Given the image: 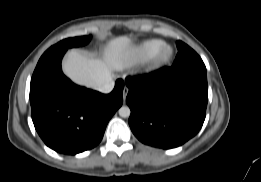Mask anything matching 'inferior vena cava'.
Instances as JSON below:
<instances>
[{
	"label": "inferior vena cava",
	"instance_id": "602c4592",
	"mask_svg": "<svg viewBox=\"0 0 261 182\" xmlns=\"http://www.w3.org/2000/svg\"><path fill=\"white\" fill-rule=\"evenodd\" d=\"M114 88V81L110 78L105 83L97 86L95 89L102 93H110Z\"/></svg>",
	"mask_w": 261,
	"mask_h": 182
}]
</instances>
